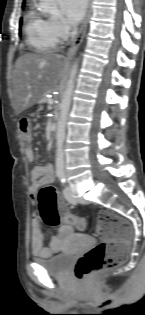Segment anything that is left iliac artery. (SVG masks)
<instances>
[{
  "label": "left iliac artery",
  "instance_id": "44dca946",
  "mask_svg": "<svg viewBox=\"0 0 145 315\" xmlns=\"http://www.w3.org/2000/svg\"><path fill=\"white\" fill-rule=\"evenodd\" d=\"M59 179L62 185L66 184V177L63 173L59 175Z\"/></svg>",
  "mask_w": 145,
  "mask_h": 315
}]
</instances>
